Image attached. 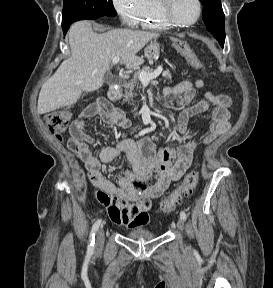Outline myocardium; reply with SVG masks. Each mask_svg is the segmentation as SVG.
<instances>
[{"mask_svg":"<svg viewBox=\"0 0 273 288\" xmlns=\"http://www.w3.org/2000/svg\"><path fill=\"white\" fill-rule=\"evenodd\" d=\"M196 4H197V15L196 17L188 22H181L178 21L174 18V16L172 15L171 12V5L173 0H157L158 2V8L160 11V14L162 16V18L170 25L174 26V27H180V28H184V27H190L192 25H194L199 18L201 17L202 14V2L201 0H195Z\"/></svg>","mask_w":273,"mask_h":288,"instance_id":"f54148a6","label":"myocardium"}]
</instances>
